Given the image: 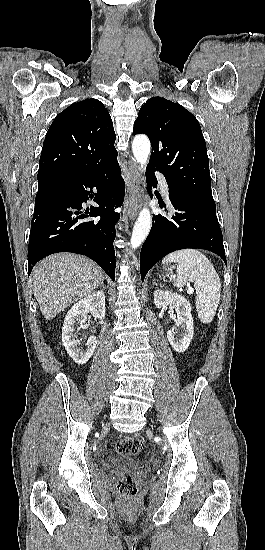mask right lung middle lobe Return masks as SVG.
Listing matches in <instances>:
<instances>
[{"label": "right lung middle lobe", "instance_id": "1", "mask_svg": "<svg viewBox=\"0 0 265 550\" xmlns=\"http://www.w3.org/2000/svg\"><path fill=\"white\" fill-rule=\"evenodd\" d=\"M57 185H45V186H40L38 188V192H37V195H36V199L40 198L41 196L45 195L46 193L50 192L51 190H53L54 188H56Z\"/></svg>", "mask_w": 265, "mask_h": 550}]
</instances>
